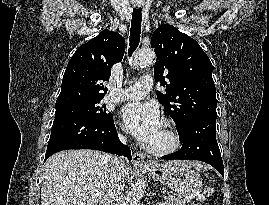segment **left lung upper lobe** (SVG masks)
<instances>
[{
  "label": "left lung upper lobe",
  "instance_id": "obj_1",
  "mask_svg": "<svg viewBox=\"0 0 269 205\" xmlns=\"http://www.w3.org/2000/svg\"><path fill=\"white\" fill-rule=\"evenodd\" d=\"M151 47L157 54L155 81L166 88L164 94L157 92V98L177 131L197 117L216 116L212 63L200 45L172 25L163 24L154 31Z\"/></svg>",
  "mask_w": 269,
  "mask_h": 205
}]
</instances>
